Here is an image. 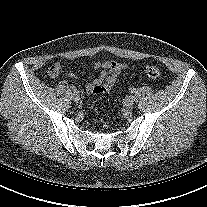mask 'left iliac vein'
Wrapping results in <instances>:
<instances>
[{
    "mask_svg": "<svg viewBox=\"0 0 207 207\" xmlns=\"http://www.w3.org/2000/svg\"><path fill=\"white\" fill-rule=\"evenodd\" d=\"M135 103V98L134 96H128L126 99H125V106L126 107H132Z\"/></svg>",
    "mask_w": 207,
    "mask_h": 207,
    "instance_id": "4c4485c4",
    "label": "left iliac vein"
}]
</instances>
